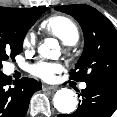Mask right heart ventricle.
I'll list each match as a JSON object with an SVG mask.
<instances>
[{"label":"right heart ventricle","mask_w":117,"mask_h":117,"mask_svg":"<svg viewBox=\"0 0 117 117\" xmlns=\"http://www.w3.org/2000/svg\"><path fill=\"white\" fill-rule=\"evenodd\" d=\"M43 30L59 38L66 45H73L79 39V30L75 22L64 15L47 18L41 24Z\"/></svg>","instance_id":"1"}]
</instances>
